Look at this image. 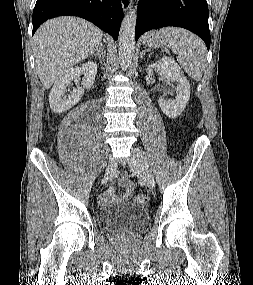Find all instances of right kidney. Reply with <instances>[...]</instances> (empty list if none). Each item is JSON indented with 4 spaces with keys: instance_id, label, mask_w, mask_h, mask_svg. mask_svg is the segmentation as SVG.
Instances as JSON below:
<instances>
[{
    "instance_id": "right-kidney-1",
    "label": "right kidney",
    "mask_w": 253,
    "mask_h": 285,
    "mask_svg": "<svg viewBox=\"0 0 253 285\" xmlns=\"http://www.w3.org/2000/svg\"><path fill=\"white\" fill-rule=\"evenodd\" d=\"M83 74L82 87L73 90L68 98L63 99L67 86L72 80H77ZM97 74V64L87 62L81 67H74L63 72L55 81L49 94L50 108L55 113H62L76 105L84 95V89L90 88Z\"/></svg>"
}]
</instances>
